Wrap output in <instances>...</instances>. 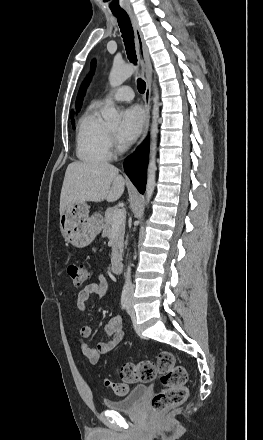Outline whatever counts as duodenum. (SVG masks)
I'll return each instance as SVG.
<instances>
[{"instance_id": "1", "label": "duodenum", "mask_w": 263, "mask_h": 440, "mask_svg": "<svg viewBox=\"0 0 263 440\" xmlns=\"http://www.w3.org/2000/svg\"><path fill=\"white\" fill-rule=\"evenodd\" d=\"M111 269L113 273H121L122 271V262L119 259H114L111 265Z\"/></svg>"}]
</instances>
